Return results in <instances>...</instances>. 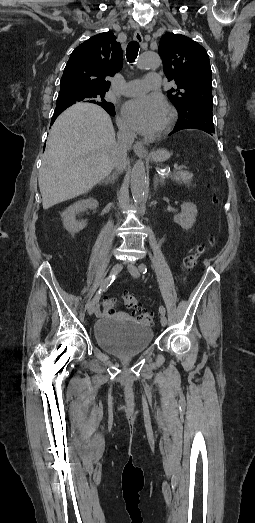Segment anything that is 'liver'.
I'll list each match as a JSON object with an SVG mask.
<instances>
[{"instance_id":"obj_1","label":"liver","mask_w":255,"mask_h":523,"mask_svg":"<svg viewBox=\"0 0 255 523\" xmlns=\"http://www.w3.org/2000/svg\"><path fill=\"white\" fill-rule=\"evenodd\" d=\"M110 116L96 104H74L54 122L39 170L43 210L87 194L115 168Z\"/></svg>"}]
</instances>
